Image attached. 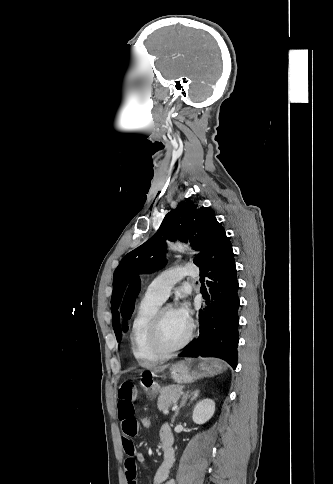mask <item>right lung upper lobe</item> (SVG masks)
Segmentation results:
<instances>
[{
  "label": "right lung upper lobe",
  "instance_id": "obj_1",
  "mask_svg": "<svg viewBox=\"0 0 333 484\" xmlns=\"http://www.w3.org/2000/svg\"><path fill=\"white\" fill-rule=\"evenodd\" d=\"M139 291H140V279L136 277L133 279L127 291V294L125 296V299L121 308L122 316L125 320L129 319L132 314L135 298L138 295ZM126 327H127L126 323H123L124 330Z\"/></svg>",
  "mask_w": 333,
  "mask_h": 484
}]
</instances>
